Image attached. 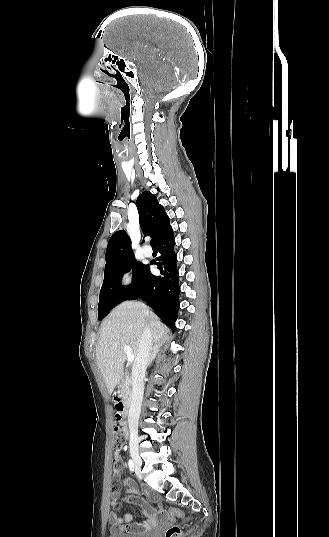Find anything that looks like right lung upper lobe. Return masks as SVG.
Segmentation results:
<instances>
[{
    "instance_id": "right-lung-upper-lobe-1",
    "label": "right lung upper lobe",
    "mask_w": 329,
    "mask_h": 537,
    "mask_svg": "<svg viewBox=\"0 0 329 537\" xmlns=\"http://www.w3.org/2000/svg\"><path fill=\"white\" fill-rule=\"evenodd\" d=\"M136 206L139 212V223L144 236H153L157 242L172 230L169 217L156 197L149 191L138 196ZM134 258L130 237L124 230L115 232L107 246L106 266Z\"/></svg>"
}]
</instances>
